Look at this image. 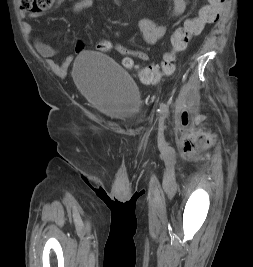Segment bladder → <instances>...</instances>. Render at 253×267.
Masks as SVG:
<instances>
[{"label":"bladder","mask_w":253,"mask_h":267,"mask_svg":"<svg viewBox=\"0 0 253 267\" xmlns=\"http://www.w3.org/2000/svg\"><path fill=\"white\" fill-rule=\"evenodd\" d=\"M73 78L79 91L106 118L134 122L143 108L141 90L135 80L117 63L102 53H80L73 66Z\"/></svg>","instance_id":"1"}]
</instances>
